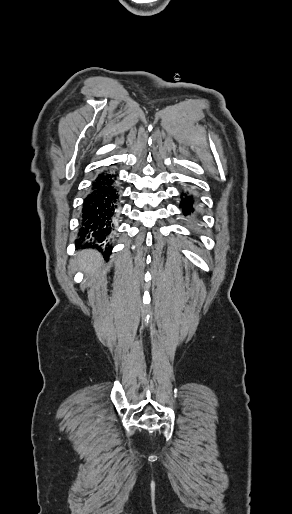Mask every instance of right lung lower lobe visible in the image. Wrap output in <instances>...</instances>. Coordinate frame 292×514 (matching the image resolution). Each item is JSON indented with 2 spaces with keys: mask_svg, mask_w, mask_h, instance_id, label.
Listing matches in <instances>:
<instances>
[{
  "mask_svg": "<svg viewBox=\"0 0 292 514\" xmlns=\"http://www.w3.org/2000/svg\"><path fill=\"white\" fill-rule=\"evenodd\" d=\"M115 174L103 171L93 181L84 199L81 215L79 241H87L82 248L97 247L96 243H106L117 218L120 193ZM82 243V242H81ZM103 243V244H104ZM109 244L107 243L106 246ZM78 246V245H77ZM108 247L105 257L111 254Z\"/></svg>",
  "mask_w": 292,
  "mask_h": 514,
  "instance_id": "98d812e1",
  "label": "right lung lower lobe"
}]
</instances>
